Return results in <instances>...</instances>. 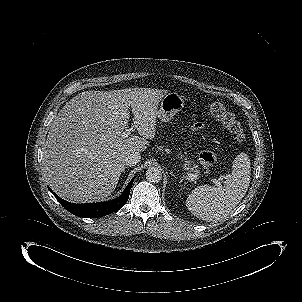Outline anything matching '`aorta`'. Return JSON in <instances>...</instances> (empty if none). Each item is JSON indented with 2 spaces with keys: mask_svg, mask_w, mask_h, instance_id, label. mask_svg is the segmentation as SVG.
Here are the masks:
<instances>
[{
  "mask_svg": "<svg viewBox=\"0 0 302 302\" xmlns=\"http://www.w3.org/2000/svg\"><path fill=\"white\" fill-rule=\"evenodd\" d=\"M146 179L151 183H158L162 179V173L157 167H150L146 171Z\"/></svg>",
  "mask_w": 302,
  "mask_h": 302,
  "instance_id": "aorta-1",
  "label": "aorta"
}]
</instances>
